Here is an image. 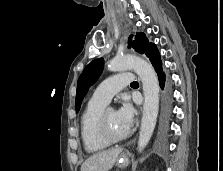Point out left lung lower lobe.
<instances>
[{
	"mask_svg": "<svg viewBox=\"0 0 223 171\" xmlns=\"http://www.w3.org/2000/svg\"><path fill=\"white\" fill-rule=\"evenodd\" d=\"M146 56L151 61L153 67L155 68L160 87L163 91V108H162V118H161V125H160V134L159 138L164 140L168 134L169 130V121L171 117L172 111V88H171V81L167 74H165L162 70V62L160 59L159 51L155 44H152L149 50L146 53Z\"/></svg>",
	"mask_w": 223,
	"mask_h": 171,
	"instance_id": "0a47b994",
	"label": "left lung lower lobe"
}]
</instances>
